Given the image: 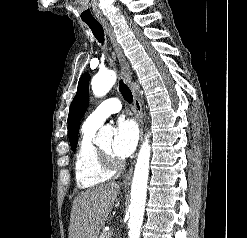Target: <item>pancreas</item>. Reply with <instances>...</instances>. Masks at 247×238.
Masks as SVG:
<instances>
[{"label":"pancreas","instance_id":"cf45deb5","mask_svg":"<svg viewBox=\"0 0 247 238\" xmlns=\"http://www.w3.org/2000/svg\"><path fill=\"white\" fill-rule=\"evenodd\" d=\"M100 238H111L110 232L102 231Z\"/></svg>","mask_w":247,"mask_h":238}]
</instances>
